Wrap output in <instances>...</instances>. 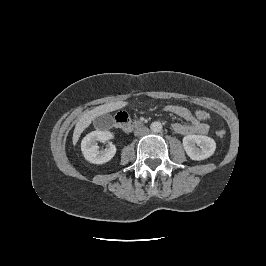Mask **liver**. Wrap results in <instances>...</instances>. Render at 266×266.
I'll return each mask as SVG.
<instances>
[{"label":"liver","instance_id":"obj_1","mask_svg":"<svg viewBox=\"0 0 266 266\" xmlns=\"http://www.w3.org/2000/svg\"><path fill=\"white\" fill-rule=\"evenodd\" d=\"M128 105V102L125 101H116L107 104H103L95 107L90 111L84 112V114L79 118L78 122L75 125L72 141L73 145L79 140L81 133L95 120L98 116L104 115L106 113L116 111L118 109L124 108Z\"/></svg>","mask_w":266,"mask_h":266}]
</instances>
